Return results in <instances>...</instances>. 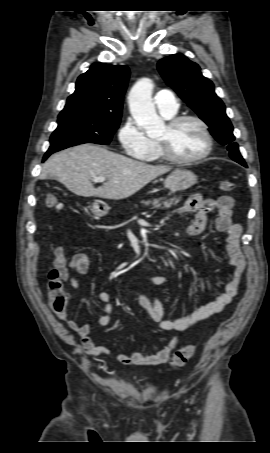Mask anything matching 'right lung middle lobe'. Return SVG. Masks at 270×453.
I'll list each match as a JSON object with an SVG mask.
<instances>
[{
	"label": "right lung middle lobe",
	"instance_id": "1",
	"mask_svg": "<svg viewBox=\"0 0 270 453\" xmlns=\"http://www.w3.org/2000/svg\"><path fill=\"white\" fill-rule=\"evenodd\" d=\"M120 117L97 113H77L58 117V127L50 137L47 152H56L82 143L109 144L119 127Z\"/></svg>",
	"mask_w": 270,
	"mask_h": 453
}]
</instances>
